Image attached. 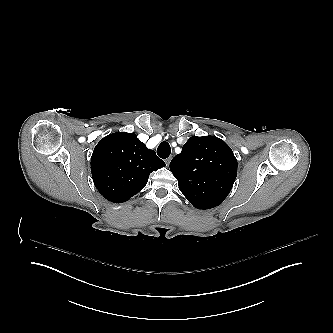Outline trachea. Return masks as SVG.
I'll list each match as a JSON object with an SVG mask.
<instances>
[{"instance_id":"trachea-1","label":"trachea","mask_w":333,"mask_h":333,"mask_svg":"<svg viewBox=\"0 0 333 333\" xmlns=\"http://www.w3.org/2000/svg\"><path fill=\"white\" fill-rule=\"evenodd\" d=\"M170 153V145L167 142H162L157 149L158 156L162 159H165L170 155Z\"/></svg>"}]
</instances>
